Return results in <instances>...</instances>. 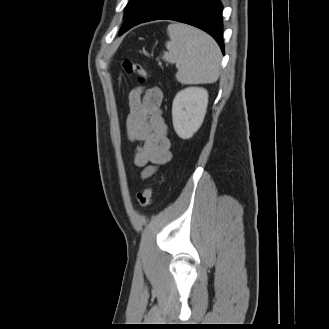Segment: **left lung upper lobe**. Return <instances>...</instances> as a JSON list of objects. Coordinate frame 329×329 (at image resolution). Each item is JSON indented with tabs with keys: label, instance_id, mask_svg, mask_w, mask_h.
<instances>
[{
	"label": "left lung upper lobe",
	"instance_id": "obj_1",
	"mask_svg": "<svg viewBox=\"0 0 329 329\" xmlns=\"http://www.w3.org/2000/svg\"><path fill=\"white\" fill-rule=\"evenodd\" d=\"M146 1L147 0H130L129 3L127 4L126 8H125V17H126V20L131 16V14L136 9H138ZM123 28H124V24L122 25L121 29H123Z\"/></svg>",
	"mask_w": 329,
	"mask_h": 329
}]
</instances>
